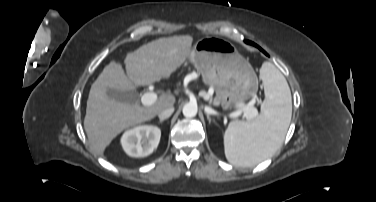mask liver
Returning <instances> with one entry per match:
<instances>
[{
  "label": "liver",
  "mask_w": 376,
  "mask_h": 202,
  "mask_svg": "<svg viewBox=\"0 0 376 202\" xmlns=\"http://www.w3.org/2000/svg\"><path fill=\"white\" fill-rule=\"evenodd\" d=\"M193 38L189 35L159 38L127 54L126 73L121 64L111 61L92 84L87 100L84 129L93 151L103 155L106 147L124 129L151 120L175 103L167 90L149 106L118 102L107 89L135 90L168 78L188 58Z\"/></svg>",
  "instance_id": "1"
}]
</instances>
